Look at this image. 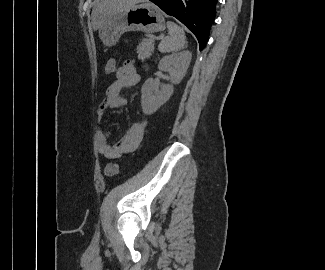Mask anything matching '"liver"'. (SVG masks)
<instances>
[{
  "label": "liver",
  "instance_id": "6515ba94",
  "mask_svg": "<svg viewBox=\"0 0 325 270\" xmlns=\"http://www.w3.org/2000/svg\"><path fill=\"white\" fill-rule=\"evenodd\" d=\"M136 2L137 0H97L91 15L93 30H98L109 15L134 6Z\"/></svg>",
  "mask_w": 325,
  "mask_h": 270
}]
</instances>
